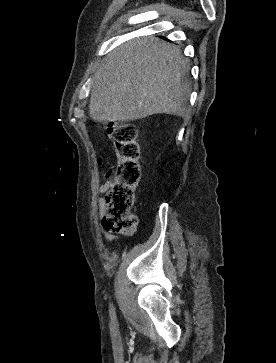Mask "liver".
<instances>
[{
	"label": "liver",
	"instance_id": "1",
	"mask_svg": "<svg viewBox=\"0 0 276 363\" xmlns=\"http://www.w3.org/2000/svg\"><path fill=\"white\" fill-rule=\"evenodd\" d=\"M189 61L154 37L122 44L103 60L91 89L89 115L97 122L128 121L153 114L186 116Z\"/></svg>",
	"mask_w": 276,
	"mask_h": 363
}]
</instances>
